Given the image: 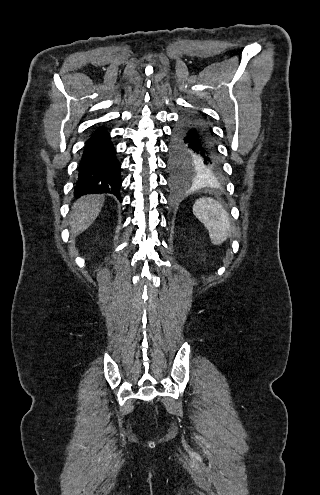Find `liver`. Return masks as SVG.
<instances>
[{"label":"liver","mask_w":320,"mask_h":495,"mask_svg":"<svg viewBox=\"0 0 320 495\" xmlns=\"http://www.w3.org/2000/svg\"><path fill=\"white\" fill-rule=\"evenodd\" d=\"M104 201V195H85L73 204L70 213V228L73 235L81 234L92 225Z\"/></svg>","instance_id":"obj_1"}]
</instances>
